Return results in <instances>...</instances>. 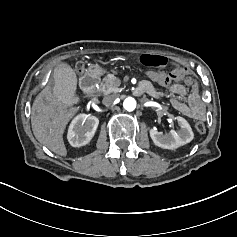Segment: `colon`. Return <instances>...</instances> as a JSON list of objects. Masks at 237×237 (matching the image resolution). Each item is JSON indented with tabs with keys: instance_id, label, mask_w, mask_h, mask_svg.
I'll list each match as a JSON object with an SVG mask.
<instances>
[{
	"instance_id": "obj_1",
	"label": "colon",
	"mask_w": 237,
	"mask_h": 237,
	"mask_svg": "<svg viewBox=\"0 0 237 237\" xmlns=\"http://www.w3.org/2000/svg\"><path fill=\"white\" fill-rule=\"evenodd\" d=\"M140 62L142 65L150 68H163L167 64V59L161 55L144 54L140 57ZM76 69L78 72H82L84 65L82 62L76 64ZM191 74L187 69H180L178 71L168 73L161 81L160 84L167 85L171 82L176 81L180 78L189 77ZM195 129L198 133L204 134L206 132V126L203 122H197L195 124Z\"/></svg>"
}]
</instances>
